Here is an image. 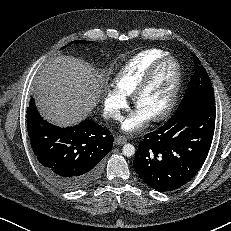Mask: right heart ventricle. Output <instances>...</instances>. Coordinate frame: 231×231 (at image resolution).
I'll use <instances>...</instances> for the list:
<instances>
[{"label": "right heart ventricle", "instance_id": "obj_1", "mask_svg": "<svg viewBox=\"0 0 231 231\" xmlns=\"http://www.w3.org/2000/svg\"><path fill=\"white\" fill-rule=\"evenodd\" d=\"M168 53L160 49L144 50L132 57L115 75L114 84L126 96H131L149 67Z\"/></svg>", "mask_w": 231, "mask_h": 231}]
</instances>
